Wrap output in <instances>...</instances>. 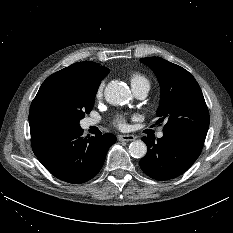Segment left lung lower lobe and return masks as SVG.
I'll return each mask as SVG.
<instances>
[{
	"instance_id": "obj_1",
	"label": "left lung lower lobe",
	"mask_w": 233,
	"mask_h": 233,
	"mask_svg": "<svg viewBox=\"0 0 233 233\" xmlns=\"http://www.w3.org/2000/svg\"><path fill=\"white\" fill-rule=\"evenodd\" d=\"M207 131L178 129L166 131L157 142L142 137L147 154L140 160L145 174L156 180H169L183 174L199 157Z\"/></svg>"
}]
</instances>
